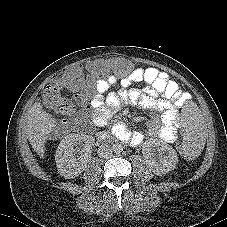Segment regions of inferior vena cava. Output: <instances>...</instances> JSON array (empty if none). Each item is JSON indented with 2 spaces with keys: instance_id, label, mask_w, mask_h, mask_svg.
Here are the masks:
<instances>
[{
  "instance_id": "inferior-vena-cava-1",
  "label": "inferior vena cava",
  "mask_w": 227,
  "mask_h": 227,
  "mask_svg": "<svg viewBox=\"0 0 227 227\" xmlns=\"http://www.w3.org/2000/svg\"><path fill=\"white\" fill-rule=\"evenodd\" d=\"M112 147L109 144H102L98 148V155L100 158H108L112 155Z\"/></svg>"
}]
</instances>
